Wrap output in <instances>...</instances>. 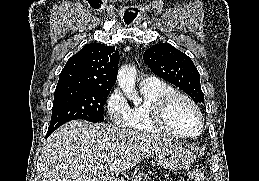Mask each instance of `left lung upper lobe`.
<instances>
[{
    "label": "left lung upper lobe",
    "mask_w": 259,
    "mask_h": 181,
    "mask_svg": "<svg viewBox=\"0 0 259 181\" xmlns=\"http://www.w3.org/2000/svg\"><path fill=\"white\" fill-rule=\"evenodd\" d=\"M143 59L151 71L186 92L196 103H204L200 74L183 52L167 43L147 49Z\"/></svg>",
    "instance_id": "1"
}]
</instances>
